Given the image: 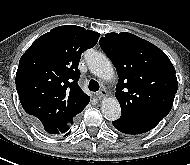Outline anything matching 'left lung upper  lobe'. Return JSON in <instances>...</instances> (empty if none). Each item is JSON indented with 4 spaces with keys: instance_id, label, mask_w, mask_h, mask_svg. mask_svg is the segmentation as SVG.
Masks as SVG:
<instances>
[{
    "instance_id": "1",
    "label": "left lung upper lobe",
    "mask_w": 190,
    "mask_h": 165,
    "mask_svg": "<svg viewBox=\"0 0 190 165\" xmlns=\"http://www.w3.org/2000/svg\"><path fill=\"white\" fill-rule=\"evenodd\" d=\"M99 44L117 70L115 96L122 115L161 121L170 112L178 89L167 55L127 32L105 34Z\"/></svg>"
}]
</instances>
